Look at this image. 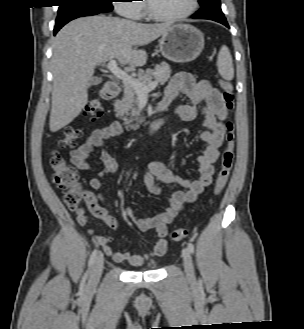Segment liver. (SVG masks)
Segmentation results:
<instances>
[{
    "label": "liver",
    "instance_id": "1",
    "mask_svg": "<svg viewBox=\"0 0 304 329\" xmlns=\"http://www.w3.org/2000/svg\"><path fill=\"white\" fill-rule=\"evenodd\" d=\"M170 27L168 23L142 24L100 15L78 18L65 25L53 41L50 131L62 129L80 114L99 63L116 59L132 71L143 66L147 53L139 47Z\"/></svg>",
    "mask_w": 304,
    "mask_h": 329
}]
</instances>
